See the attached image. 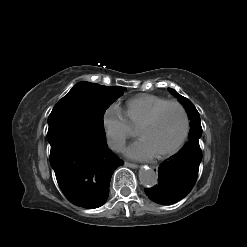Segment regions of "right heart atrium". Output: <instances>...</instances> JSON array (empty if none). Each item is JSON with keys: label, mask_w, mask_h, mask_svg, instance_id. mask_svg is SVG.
<instances>
[{"label": "right heart atrium", "mask_w": 247, "mask_h": 247, "mask_svg": "<svg viewBox=\"0 0 247 247\" xmlns=\"http://www.w3.org/2000/svg\"><path fill=\"white\" fill-rule=\"evenodd\" d=\"M102 125L109 147L114 151H121L132 134V128L123 111L117 105H111L103 114Z\"/></svg>", "instance_id": "right-heart-atrium-1"}]
</instances>
